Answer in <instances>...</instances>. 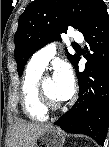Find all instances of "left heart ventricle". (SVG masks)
Masks as SVG:
<instances>
[{
    "label": "left heart ventricle",
    "mask_w": 109,
    "mask_h": 147,
    "mask_svg": "<svg viewBox=\"0 0 109 147\" xmlns=\"http://www.w3.org/2000/svg\"><path fill=\"white\" fill-rule=\"evenodd\" d=\"M43 88L46 94L55 102H59L60 99L58 98L56 94V87H55V82L54 79L52 78H46L43 81Z\"/></svg>",
    "instance_id": "1"
}]
</instances>
